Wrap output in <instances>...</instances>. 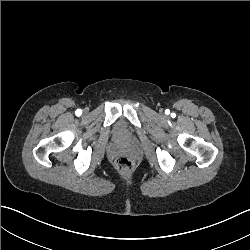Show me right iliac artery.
<instances>
[{
    "label": "right iliac artery",
    "mask_w": 250,
    "mask_h": 250,
    "mask_svg": "<svg viewBox=\"0 0 250 250\" xmlns=\"http://www.w3.org/2000/svg\"><path fill=\"white\" fill-rule=\"evenodd\" d=\"M75 114H76L77 116H80V115L82 114V110H81V109H77V110L75 111Z\"/></svg>",
    "instance_id": "1"
}]
</instances>
